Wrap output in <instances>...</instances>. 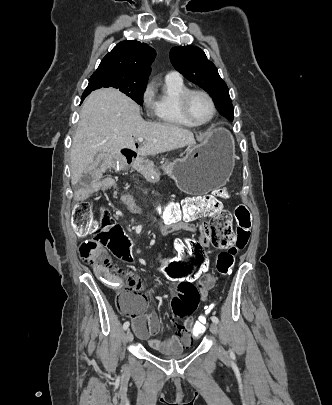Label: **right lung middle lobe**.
<instances>
[{"instance_id":"1","label":"right lung middle lobe","mask_w":332,"mask_h":405,"mask_svg":"<svg viewBox=\"0 0 332 405\" xmlns=\"http://www.w3.org/2000/svg\"><path fill=\"white\" fill-rule=\"evenodd\" d=\"M146 85L147 80L132 78L124 74L96 72L91 76L86 91H93L102 87H114L142 105L143 92L145 91Z\"/></svg>"}]
</instances>
